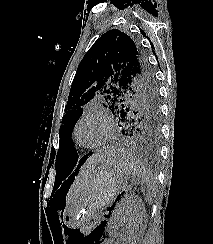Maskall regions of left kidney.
Segmentation results:
<instances>
[{"label":"left kidney","mask_w":213,"mask_h":244,"mask_svg":"<svg viewBox=\"0 0 213 244\" xmlns=\"http://www.w3.org/2000/svg\"><path fill=\"white\" fill-rule=\"evenodd\" d=\"M125 225L126 235L122 244H137V231L139 230L138 214L136 211V201L131 197L121 201L116 207L111 219V229L107 244H114L115 239L119 237L117 230Z\"/></svg>","instance_id":"5707ae66"}]
</instances>
